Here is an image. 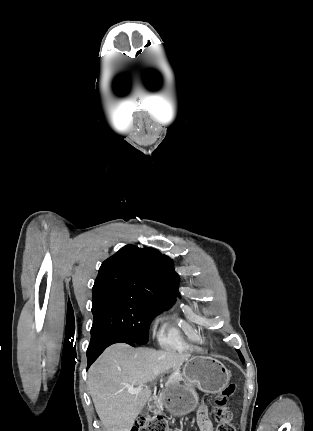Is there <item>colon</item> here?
<instances>
[{"label":"colon","mask_w":313,"mask_h":431,"mask_svg":"<svg viewBox=\"0 0 313 431\" xmlns=\"http://www.w3.org/2000/svg\"><path fill=\"white\" fill-rule=\"evenodd\" d=\"M236 392L235 384L226 386L216 397L218 406L215 411V420L217 422L216 431H235L231 423V416L225 408L226 402ZM131 431H168L166 421L160 416L145 414L137 419Z\"/></svg>","instance_id":"obj_1"}]
</instances>
